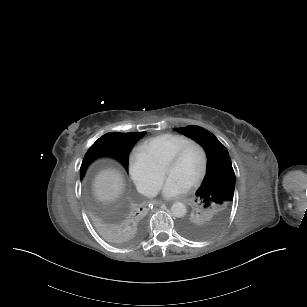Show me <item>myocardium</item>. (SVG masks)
<instances>
[{"label": "myocardium", "instance_id": "myocardium-1", "mask_svg": "<svg viewBox=\"0 0 307 307\" xmlns=\"http://www.w3.org/2000/svg\"><path fill=\"white\" fill-rule=\"evenodd\" d=\"M193 145H199L201 150H202L203 166H202L200 173L188 184L189 187H193V186L199 184L207 174V171H208V168H209V154H208V150H207L205 144L203 142L199 141V140L191 139L190 141L184 143L173 154L169 155L164 160V165L169 164V163L178 162L179 160L182 159V157L185 155L187 150Z\"/></svg>", "mask_w": 307, "mask_h": 307}]
</instances>
